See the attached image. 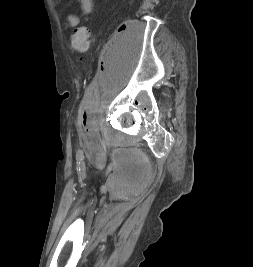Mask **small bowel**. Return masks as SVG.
<instances>
[{
  "label": "small bowel",
  "mask_w": 253,
  "mask_h": 267,
  "mask_svg": "<svg viewBox=\"0 0 253 267\" xmlns=\"http://www.w3.org/2000/svg\"><path fill=\"white\" fill-rule=\"evenodd\" d=\"M79 8L85 15H89L93 11L92 0H76ZM80 19L75 14H70L66 18V25L71 28H75L79 25Z\"/></svg>",
  "instance_id": "1"
}]
</instances>
